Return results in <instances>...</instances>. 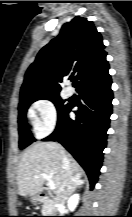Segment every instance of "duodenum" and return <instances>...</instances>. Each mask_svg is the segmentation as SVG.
Segmentation results:
<instances>
[{
    "label": "duodenum",
    "instance_id": "obj_1",
    "mask_svg": "<svg viewBox=\"0 0 132 217\" xmlns=\"http://www.w3.org/2000/svg\"><path fill=\"white\" fill-rule=\"evenodd\" d=\"M38 198L40 201H48L52 198V194L48 190H40L38 192Z\"/></svg>",
    "mask_w": 132,
    "mask_h": 217
}]
</instances>
